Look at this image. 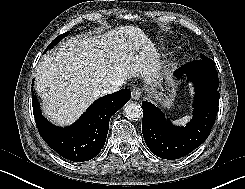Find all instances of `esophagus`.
I'll return each instance as SVG.
<instances>
[{
    "mask_svg": "<svg viewBox=\"0 0 245 189\" xmlns=\"http://www.w3.org/2000/svg\"><path fill=\"white\" fill-rule=\"evenodd\" d=\"M142 91L139 88H135L132 90V99L139 100L141 97Z\"/></svg>",
    "mask_w": 245,
    "mask_h": 189,
    "instance_id": "esophagus-1",
    "label": "esophagus"
}]
</instances>
